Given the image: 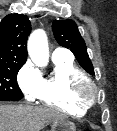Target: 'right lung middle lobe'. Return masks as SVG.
Returning a JSON list of instances; mask_svg holds the SVG:
<instances>
[{
    "instance_id": "obj_1",
    "label": "right lung middle lobe",
    "mask_w": 117,
    "mask_h": 131,
    "mask_svg": "<svg viewBox=\"0 0 117 131\" xmlns=\"http://www.w3.org/2000/svg\"><path fill=\"white\" fill-rule=\"evenodd\" d=\"M23 64H0V101H17L23 94L17 84V73Z\"/></svg>"
}]
</instances>
